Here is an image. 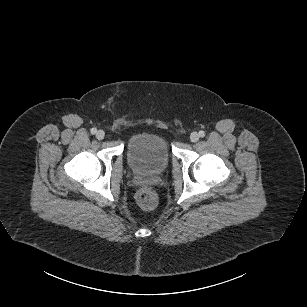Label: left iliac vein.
I'll use <instances>...</instances> for the list:
<instances>
[{
	"label": "left iliac vein",
	"mask_w": 307,
	"mask_h": 307,
	"mask_svg": "<svg viewBox=\"0 0 307 307\" xmlns=\"http://www.w3.org/2000/svg\"><path fill=\"white\" fill-rule=\"evenodd\" d=\"M191 142H197L199 140V134L197 132H192L190 135Z\"/></svg>",
	"instance_id": "4c4485c4"
}]
</instances>
